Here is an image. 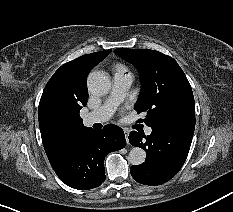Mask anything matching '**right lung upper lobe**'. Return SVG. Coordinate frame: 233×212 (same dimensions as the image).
<instances>
[{
  "label": "right lung upper lobe",
  "instance_id": "cb5924a9",
  "mask_svg": "<svg viewBox=\"0 0 233 212\" xmlns=\"http://www.w3.org/2000/svg\"><path fill=\"white\" fill-rule=\"evenodd\" d=\"M110 52L86 54L67 62L46 84L39 103V127L50 164L58 161L87 129L79 115L88 100L86 79Z\"/></svg>",
  "mask_w": 233,
  "mask_h": 212
}]
</instances>
